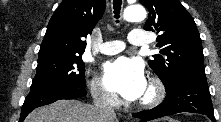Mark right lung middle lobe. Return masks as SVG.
I'll return each mask as SVG.
<instances>
[{
    "label": "right lung middle lobe",
    "instance_id": "1",
    "mask_svg": "<svg viewBox=\"0 0 221 122\" xmlns=\"http://www.w3.org/2000/svg\"><path fill=\"white\" fill-rule=\"evenodd\" d=\"M58 85L86 87L85 64L81 55L53 56L38 59L31 90Z\"/></svg>",
    "mask_w": 221,
    "mask_h": 122
}]
</instances>
